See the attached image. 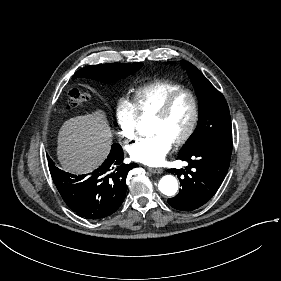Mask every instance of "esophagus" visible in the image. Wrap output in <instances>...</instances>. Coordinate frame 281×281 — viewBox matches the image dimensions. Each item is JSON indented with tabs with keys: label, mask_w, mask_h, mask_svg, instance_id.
<instances>
[{
	"label": "esophagus",
	"mask_w": 281,
	"mask_h": 281,
	"mask_svg": "<svg viewBox=\"0 0 281 281\" xmlns=\"http://www.w3.org/2000/svg\"><path fill=\"white\" fill-rule=\"evenodd\" d=\"M148 171H150L153 174H161L163 172L162 168H152V167H148L147 168Z\"/></svg>",
	"instance_id": "34e87169"
}]
</instances>
